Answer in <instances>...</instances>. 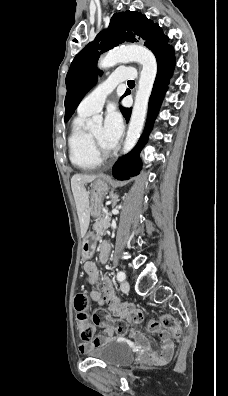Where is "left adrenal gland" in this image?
I'll list each match as a JSON object with an SVG mask.
<instances>
[{"label": "left adrenal gland", "mask_w": 228, "mask_h": 396, "mask_svg": "<svg viewBox=\"0 0 228 396\" xmlns=\"http://www.w3.org/2000/svg\"><path fill=\"white\" fill-rule=\"evenodd\" d=\"M111 198H112V207H114L118 201V196L111 194Z\"/></svg>", "instance_id": "a2214340"}]
</instances>
